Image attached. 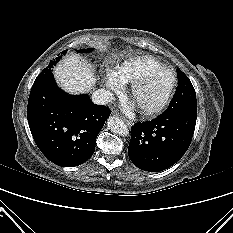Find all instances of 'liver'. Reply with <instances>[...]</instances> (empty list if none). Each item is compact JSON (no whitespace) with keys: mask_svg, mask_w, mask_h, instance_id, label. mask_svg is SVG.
I'll return each mask as SVG.
<instances>
[{"mask_svg":"<svg viewBox=\"0 0 233 233\" xmlns=\"http://www.w3.org/2000/svg\"><path fill=\"white\" fill-rule=\"evenodd\" d=\"M59 86L71 94L89 92L96 83L91 67L76 55L68 56L54 71Z\"/></svg>","mask_w":233,"mask_h":233,"instance_id":"1","label":"liver"}]
</instances>
